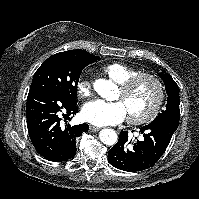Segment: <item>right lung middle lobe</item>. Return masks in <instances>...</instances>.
I'll use <instances>...</instances> for the list:
<instances>
[{
    "mask_svg": "<svg viewBox=\"0 0 199 199\" xmlns=\"http://www.w3.org/2000/svg\"><path fill=\"white\" fill-rule=\"evenodd\" d=\"M100 59L97 56L72 57L57 53L50 56L35 72L30 90L51 88L63 97L76 103L77 85L81 71L89 64Z\"/></svg>",
    "mask_w": 199,
    "mask_h": 199,
    "instance_id": "dd1d6c3e",
    "label": "right lung middle lobe"
}]
</instances>
